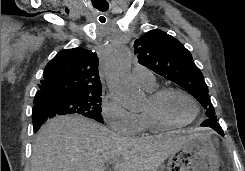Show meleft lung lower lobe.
Here are the masks:
<instances>
[{
  "label": "left lung lower lobe",
  "instance_id": "left-lung-lower-lobe-1",
  "mask_svg": "<svg viewBox=\"0 0 245 171\" xmlns=\"http://www.w3.org/2000/svg\"><path fill=\"white\" fill-rule=\"evenodd\" d=\"M201 126L210 127L213 130H215L217 133L224 135V132L220 127V125L217 123V121H210L209 119H207L201 124Z\"/></svg>",
  "mask_w": 245,
  "mask_h": 171
}]
</instances>
